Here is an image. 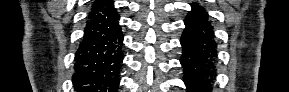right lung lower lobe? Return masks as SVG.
Masks as SVG:
<instances>
[{"label":"right lung lower lobe","mask_w":289,"mask_h":92,"mask_svg":"<svg viewBox=\"0 0 289 92\" xmlns=\"http://www.w3.org/2000/svg\"><path fill=\"white\" fill-rule=\"evenodd\" d=\"M119 19L111 0L92 7L75 56L77 92H116L123 59Z\"/></svg>","instance_id":"right-lung-lower-lobe-1"}]
</instances>
